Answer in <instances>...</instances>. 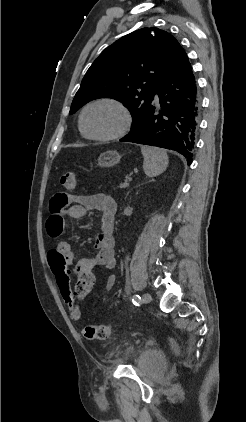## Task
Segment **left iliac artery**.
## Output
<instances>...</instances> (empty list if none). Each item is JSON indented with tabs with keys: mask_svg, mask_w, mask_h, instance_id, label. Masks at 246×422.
Segmentation results:
<instances>
[{
	"mask_svg": "<svg viewBox=\"0 0 246 422\" xmlns=\"http://www.w3.org/2000/svg\"><path fill=\"white\" fill-rule=\"evenodd\" d=\"M140 300H141V298H140L139 295H137V294L133 295V297H132L133 304L138 305L140 303Z\"/></svg>",
	"mask_w": 246,
	"mask_h": 422,
	"instance_id": "left-iliac-artery-1",
	"label": "left iliac artery"
}]
</instances>
